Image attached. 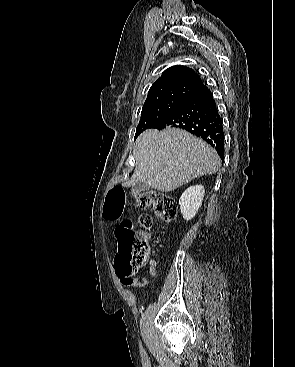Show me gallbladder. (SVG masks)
Returning a JSON list of instances; mask_svg holds the SVG:
<instances>
[{
  "label": "gallbladder",
  "mask_w": 295,
  "mask_h": 367,
  "mask_svg": "<svg viewBox=\"0 0 295 367\" xmlns=\"http://www.w3.org/2000/svg\"><path fill=\"white\" fill-rule=\"evenodd\" d=\"M149 189V186L145 183L142 182H137L134 186H133V192L134 193H140L143 191H146Z\"/></svg>",
  "instance_id": "bac80fb5"
}]
</instances>
